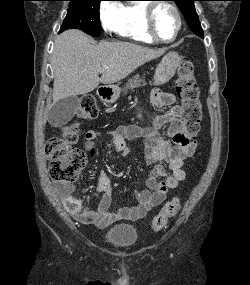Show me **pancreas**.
<instances>
[{
	"label": "pancreas",
	"instance_id": "obj_1",
	"mask_svg": "<svg viewBox=\"0 0 250 285\" xmlns=\"http://www.w3.org/2000/svg\"><path fill=\"white\" fill-rule=\"evenodd\" d=\"M145 80L141 79L138 74L134 75L132 78L128 79V83L124 89L125 93L128 89H133L135 87L145 86Z\"/></svg>",
	"mask_w": 250,
	"mask_h": 285
}]
</instances>
